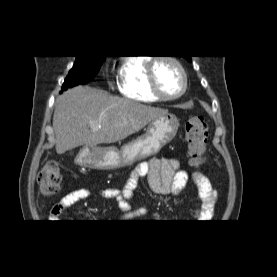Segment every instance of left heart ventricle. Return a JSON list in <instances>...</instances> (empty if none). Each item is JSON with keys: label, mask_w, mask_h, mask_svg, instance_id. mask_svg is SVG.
I'll return each instance as SVG.
<instances>
[{"label": "left heart ventricle", "mask_w": 277, "mask_h": 277, "mask_svg": "<svg viewBox=\"0 0 277 277\" xmlns=\"http://www.w3.org/2000/svg\"><path fill=\"white\" fill-rule=\"evenodd\" d=\"M158 86L163 94L173 96L179 93L183 86V80L177 67L164 60L157 62L155 67Z\"/></svg>", "instance_id": "1"}]
</instances>
